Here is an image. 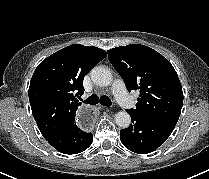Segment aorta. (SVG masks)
<instances>
[{"mask_svg":"<svg viewBox=\"0 0 209 179\" xmlns=\"http://www.w3.org/2000/svg\"><path fill=\"white\" fill-rule=\"evenodd\" d=\"M91 79L95 85L105 87L111 84L112 74L108 68L97 66L91 70ZM115 122L119 127L127 128L131 123V117L126 111H120L115 115Z\"/></svg>","mask_w":209,"mask_h":179,"instance_id":"obj_1","label":"aorta"}]
</instances>
